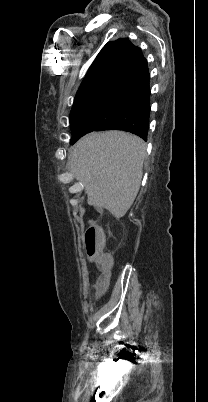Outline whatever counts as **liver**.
<instances>
[{
	"label": "liver",
	"mask_w": 208,
	"mask_h": 402,
	"mask_svg": "<svg viewBox=\"0 0 208 402\" xmlns=\"http://www.w3.org/2000/svg\"><path fill=\"white\" fill-rule=\"evenodd\" d=\"M145 144L126 132L87 134L72 148L69 168L97 212L123 218L140 188Z\"/></svg>",
	"instance_id": "1"
}]
</instances>
